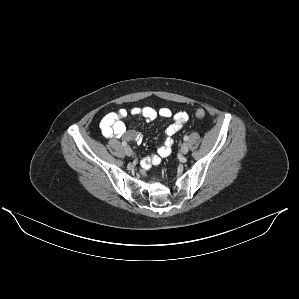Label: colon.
I'll use <instances>...</instances> for the list:
<instances>
[{"instance_id":"colon-1","label":"colon","mask_w":299,"mask_h":299,"mask_svg":"<svg viewBox=\"0 0 299 299\" xmlns=\"http://www.w3.org/2000/svg\"><path fill=\"white\" fill-rule=\"evenodd\" d=\"M205 115H206V112H205L204 109H198V110L195 112V116H196L197 118H203V117H205Z\"/></svg>"}]
</instances>
